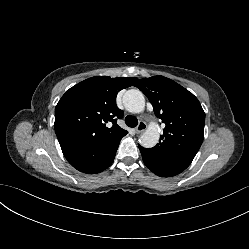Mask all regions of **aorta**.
Wrapping results in <instances>:
<instances>
[{
	"label": "aorta",
	"mask_w": 249,
	"mask_h": 249,
	"mask_svg": "<svg viewBox=\"0 0 249 249\" xmlns=\"http://www.w3.org/2000/svg\"><path fill=\"white\" fill-rule=\"evenodd\" d=\"M125 108L132 113H140L145 108V97L137 89L128 90L123 97ZM159 131L156 124H150L140 136V144L145 148L154 147L159 141Z\"/></svg>",
	"instance_id": "762f6f07"
}]
</instances>
